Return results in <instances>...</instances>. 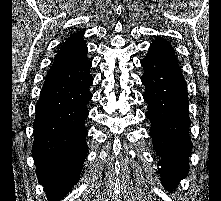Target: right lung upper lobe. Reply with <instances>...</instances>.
Segmentation results:
<instances>
[{"mask_svg":"<svg viewBox=\"0 0 221 201\" xmlns=\"http://www.w3.org/2000/svg\"><path fill=\"white\" fill-rule=\"evenodd\" d=\"M87 45L81 32L71 35L58 51L53 65H81L88 62Z\"/></svg>","mask_w":221,"mask_h":201,"instance_id":"1","label":"right lung upper lobe"}]
</instances>
